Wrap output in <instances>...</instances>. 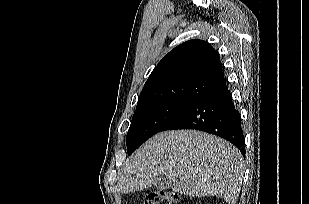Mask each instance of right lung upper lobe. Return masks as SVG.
Returning <instances> with one entry per match:
<instances>
[{
  "label": "right lung upper lobe",
  "instance_id": "obj_1",
  "mask_svg": "<svg viewBox=\"0 0 309 204\" xmlns=\"http://www.w3.org/2000/svg\"><path fill=\"white\" fill-rule=\"evenodd\" d=\"M227 88L217 51L190 40L170 51L146 81L138 104L164 99L200 102Z\"/></svg>",
  "mask_w": 309,
  "mask_h": 204
}]
</instances>
